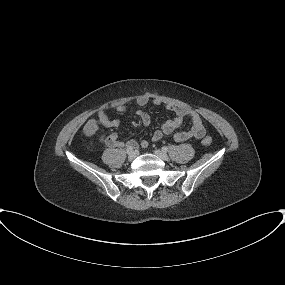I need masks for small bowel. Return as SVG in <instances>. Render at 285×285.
I'll return each instance as SVG.
<instances>
[{
	"instance_id": "small-bowel-1",
	"label": "small bowel",
	"mask_w": 285,
	"mask_h": 285,
	"mask_svg": "<svg viewBox=\"0 0 285 285\" xmlns=\"http://www.w3.org/2000/svg\"><path fill=\"white\" fill-rule=\"evenodd\" d=\"M149 103H152L154 105L163 104V102L160 99L157 98L152 99L148 96H140L136 99V104L139 107H144ZM164 106L168 111L174 113V117L167 119L162 124L161 129L156 130L152 134L153 141H159L163 138L164 135L172 134L177 128H179L182 125L185 118L190 119L192 127L186 131L176 132L174 134V140L176 142H185L191 138L195 139L204 138L206 134V129L200 115L196 111L188 109L186 107L177 106L172 103H166L164 104ZM115 109L118 113H126L128 111V107L126 104H119L116 106ZM135 114L138 117H140L143 125L149 126L151 124V117L147 112L138 109L137 111H135ZM119 125H120L119 120L110 119L104 111H99L96 118L90 119L86 122L83 128V133L85 136L91 137L97 132V130L101 126L106 128H117L119 127ZM100 140L102 143L113 148L122 147L123 145L130 146L132 148H137L139 146L142 148H147L149 145V142L147 140H142L140 143L136 142L135 140H128L127 142L123 143L122 141L119 140L116 133L103 135L101 136Z\"/></svg>"
}]
</instances>
